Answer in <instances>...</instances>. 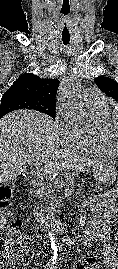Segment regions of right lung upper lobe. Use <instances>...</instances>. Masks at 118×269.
<instances>
[{
	"mask_svg": "<svg viewBox=\"0 0 118 269\" xmlns=\"http://www.w3.org/2000/svg\"><path fill=\"white\" fill-rule=\"evenodd\" d=\"M58 86V79H42L32 73H24L4 95L20 94L43 105H55Z\"/></svg>",
	"mask_w": 118,
	"mask_h": 269,
	"instance_id": "cb5924a9",
	"label": "right lung upper lobe"
}]
</instances>
